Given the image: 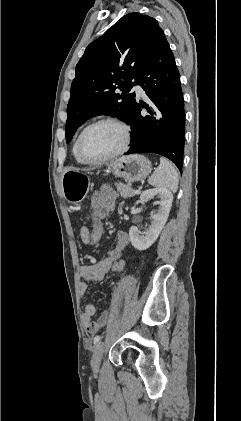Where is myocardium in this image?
Wrapping results in <instances>:
<instances>
[{
    "mask_svg": "<svg viewBox=\"0 0 241 421\" xmlns=\"http://www.w3.org/2000/svg\"><path fill=\"white\" fill-rule=\"evenodd\" d=\"M104 123L116 125L117 127H119L121 129L122 134H123L122 144L116 151H114L113 153H111V154H109L105 157H102V158H99V159H90L85 155V153L83 151L84 138H85L87 132L90 129H92L93 127H95L97 125L104 124ZM130 139H131V130H130V127L124 121H122L118 118H114V117H103V118H100V119H97V120L91 122L81 131V133L79 135V138H78V142H77L78 155L81 158V160L86 164H90V165L103 164V163L111 161V160L119 157L123 153H125L126 150L129 147Z\"/></svg>",
    "mask_w": 241,
    "mask_h": 421,
    "instance_id": "1",
    "label": "myocardium"
}]
</instances>
